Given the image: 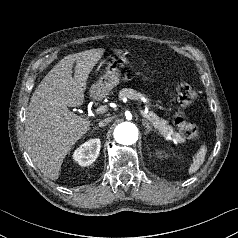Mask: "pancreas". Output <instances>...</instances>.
<instances>
[{
	"label": "pancreas",
	"mask_w": 238,
	"mask_h": 238,
	"mask_svg": "<svg viewBox=\"0 0 238 238\" xmlns=\"http://www.w3.org/2000/svg\"><path fill=\"white\" fill-rule=\"evenodd\" d=\"M128 98L131 100L139 101L145 96L139 92H136L135 90L129 88H124L119 92V99ZM150 122L152 125L159 131L160 134H162L164 137H170L173 141L176 143H182L184 139L180 136L179 133H176L173 130V127L171 125H168V121L158 117L155 113L149 112L148 113Z\"/></svg>",
	"instance_id": "1"
}]
</instances>
